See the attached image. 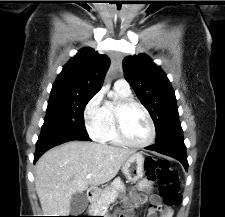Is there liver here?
Masks as SVG:
<instances>
[{"label":"liver","mask_w":225,"mask_h":217,"mask_svg":"<svg viewBox=\"0 0 225 217\" xmlns=\"http://www.w3.org/2000/svg\"><path fill=\"white\" fill-rule=\"evenodd\" d=\"M134 153L84 141L67 142L44 153L35 171V189L43 214L68 216L74 193L110 181ZM88 174H92L89 179Z\"/></svg>","instance_id":"obj_1"}]
</instances>
